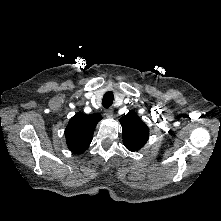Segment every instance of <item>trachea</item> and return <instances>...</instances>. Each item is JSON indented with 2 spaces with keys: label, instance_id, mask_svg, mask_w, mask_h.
<instances>
[{
  "label": "trachea",
  "instance_id": "obj_1",
  "mask_svg": "<svg viewBox=\"0 0 221 221\" xmlns=\"http://www.w3.org/2000/svg\"><path fill=\"white\" fill-rule=\"evenodd\" d=\"M114 100V95L112 91H108L104 94L102 99V105L104 108H109Z\"/></svg>",
  "mask_w": 221,
  "mask_h": 221
}]
</instances>
